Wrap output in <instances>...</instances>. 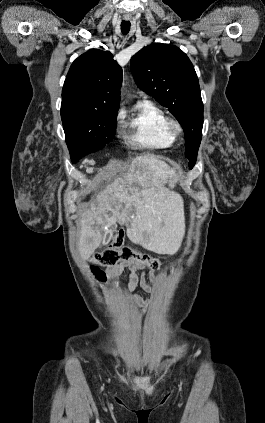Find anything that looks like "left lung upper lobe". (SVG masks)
Listing matches in <instances>:
<instances>
[{
  "instance_id": "left-lung-upper-lobe-1",
  "label": "left lung upper lobe",
  "mask_w": 265,
  "mask_h": 423,
  "mask_svg": "<svg viewBox=\"0 0 265 423\" xmlns=\"http://www.w3.org/2000/svg\"><path fill=\"white\" fill-rule=\"evenodd\" d=\"M137 86L167 107L185 132L189 167L196 162L202 138L203 103L195 69L178 47L155 43L131 58Z\"/></svg>"
}]
</instances>
